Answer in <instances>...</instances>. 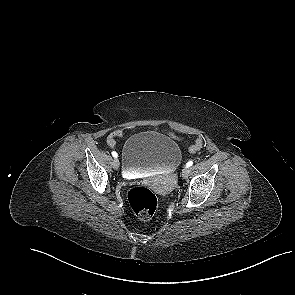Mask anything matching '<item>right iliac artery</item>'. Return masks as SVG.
Masks as SVG:
<instances>
[{
	"label": "right iliac artery",
	"mask_w": 295,
	"mask_h": 295,
	"mask_svg": "<svg viewBox=\"0 0 295 295\" xmlns=\"http://www.w3.org/2000/svg\"><path fill=\"white\" fill-rule=\"evenodd\" d=\"M112 156L117 158V153L115 151L112 152Z\"/></svg>",
	"instance_id": "82829eb1"
}]
</instances>
